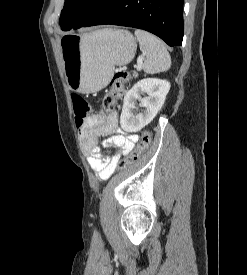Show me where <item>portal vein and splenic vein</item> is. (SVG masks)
<instances>
[{
	"instance_id": "1",
	"label": "portal vein and splenic vein",
	"mask_w": 247,
	"mask_h": 275,
	"mask_svg": "<svg viewBox=\"0 0 247 275\" xmlns=\"http://www.w3.org/2000/svg\"><path fill=\"white\" fill-rule=\"evenodd\" d=\"M143 59H144V57L141 56V57L137 60V65H135V67H136L137 70H141Z\"/></svg>"
}]
</instances>
